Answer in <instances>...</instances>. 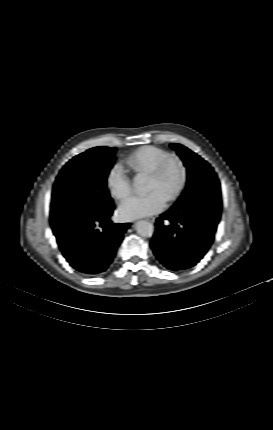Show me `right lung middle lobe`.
Returning <instances> with one entry per match:
<instances>
[{"instance_id":"obj_1","label":"right lung middle lobe","mask_w":273,"mask_h":430,"mask_svg":"<svg viewBox=\"0 0 273 430\" xmlns=\"http://www.w3.org/2000/svg\"><path fill=\"white\" fill-rule=\"evenodd\" d=\"M116 148L95 147L71 159L60 171L52 193L54 232L114 208L106 187Z\"/></svg>"}]
</instances>
